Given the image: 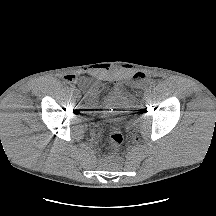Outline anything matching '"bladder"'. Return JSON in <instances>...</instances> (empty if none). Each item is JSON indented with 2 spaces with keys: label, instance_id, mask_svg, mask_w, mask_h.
I'll list each match as a JSON object with an SVG mask.
<instances>
[{
  "label": "bladder",
  "instance_id": "obj_1",
  "mask_svg": "<svg viewBox=\"0 0 216 216\" xmlns=\"http://www.w3.org/2000/svg\"><path fill=\"white\" fill-rule=\"evenodd\" d=\"M89 115L106 123L131 117L135 111L132 98L114 84H106L84 94Z\"/></svg>",
  "mask_w": 216,
  "mask_h": 216
}]
</instances>
